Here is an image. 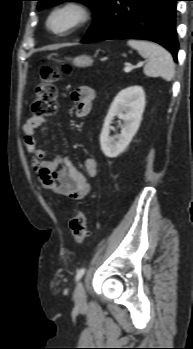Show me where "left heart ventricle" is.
<instances>
[{
	"label": "left heart ventricle",
	"mask_w": 193,
	"mask_h": 349,
	"mask_svg": "<svg viewBox=\"0 0 193 349\" xmlns=\"http://www.w3.org/2000/svg\"><path fill=\"white\" fill-rule=\"evenodd\" d=\"M77 14L72 9L62 10L53 15L50 26L55 31H62L68 28L76 19Z\"/></svg>",
	"instance_id": "1"
}]
</instances>
